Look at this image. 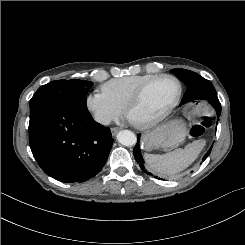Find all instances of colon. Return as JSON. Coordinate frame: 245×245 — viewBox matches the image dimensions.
Listing matches in <instances>:
<instances>
[{
  "instance_id": "obj_1",
  "label": "colon",
  "mask_w": 245,
  "mask_h": 245,
  "mask_svg": "<svg viewBox=\"0 0 245 245\" xmlns=\"http://www.w3.org/2000/svg\"><path fill=\"white\" fill-rule=\"evenodd\" d=\"M211 125V119L207 116H202L199 121L191 127L190 136L193 138L202 136Z\"/></svg>"
}]
</instances>
